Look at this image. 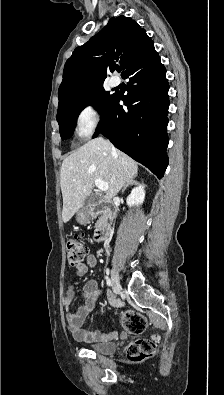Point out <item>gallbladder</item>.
I'll list each match as a JSON object with an SVG mask.
<instances>
[{"mask_svg": "<svg viewBox=\"0 0 224 395\" xmlns=\"http://www.w3.org/2000/svg\"><path fill=\"white\" fill-rule=\"evenodd\" d=\"M99 200H100L99 196H97L95 194H91L86 198V200L84 202V206L86 207L91 204H96L99 202Z\"/></svg>", "mask_w": 224, "mask_h": 395, "instance_id": "obj_1", "label": "gallbladder"}]
</instances>
